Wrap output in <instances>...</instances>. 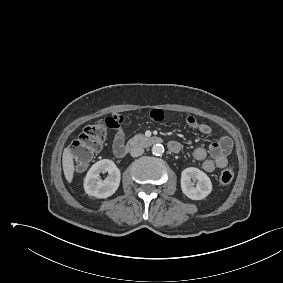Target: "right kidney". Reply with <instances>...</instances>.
<instances>
[{"instance_id": "obj_1", "label": "right kidney", "mask_w": 283, "mask_h": 283, "mask_svg": "<svg viewBox=\"0 0 283 283\" xmlns=\"http://www.w3.org/2000/svg\"><path fill=\"white\" fill-rule=\"evenodd\" d=\"M108 172L105 180L100 179V173ZM121 174L115 163L109 159L96 162L84 179V189L88 195L96 198H107L113 195L119 187Z\"/></svg>"}]
</instances>
